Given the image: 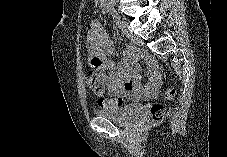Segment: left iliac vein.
Returning a JSON list of instances; mask_svg holds the SVG:
<instances>
[{"label":"left iliac vein","instance_id":"1","mask_svg":"<svg viewBox=\"0 0 227 157\" xmlns=\"http://www.w3.org/2000/svg\"><path fill=\"white\" fill-rule=\"evenodd\" d=\"M126 27H127V23L126 22H123V27H122L123 28V31L126 34V36L131 40V42L133 44H135V45H138V46L143 45V40L140 37H138V36L132 34L131 32H129L126 29Z\"/></svg>","mask_w":227,"mask_h":157}]
</instances>
